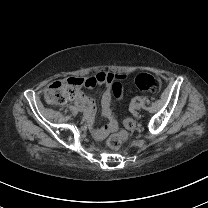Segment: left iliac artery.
<instances>
[{
  "mask_svg": "<svg viewBox=\"0 0 208 208\" xmlns=\"http://www.w3.org/2000/svg\"><path fill=\"white\" fill-rule=\"evenodd\" d=\"M137 100H141V98L140 97H137Z\"/></svg>",
  "mask_w": 208,
  "mask_h": 208,
  "instance_id": "obj_1",
  "label": "left iliac artery"
}]
</instances>
